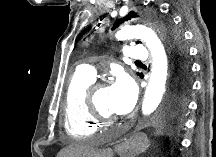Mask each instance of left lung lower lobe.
I'll return each mask as SVG.
<instances>
[{"mask_svg": "<svg viewBox=\"0 0 216 157\" xmlns=\"http://www.w3.org/2000/svg\"><path fill=\"white\" fill-rule=\"evenodd\" d=\"M140 76L142 77V75ZM190 87L189 75L188 79L184 83H181L174 74L172 75L167 104L165 105L162 115L165 120H172L178 116L185 106V98Z\"/></svg>", "mask_w": 216, "mask_h": 157, "instance_id": "1", "label": "left lung lower lobe"}]
</instances>
